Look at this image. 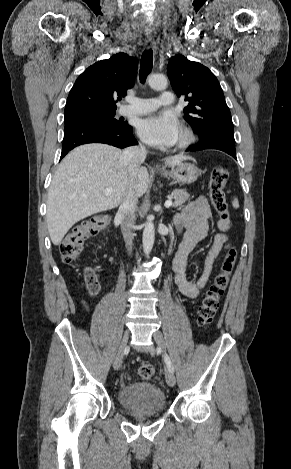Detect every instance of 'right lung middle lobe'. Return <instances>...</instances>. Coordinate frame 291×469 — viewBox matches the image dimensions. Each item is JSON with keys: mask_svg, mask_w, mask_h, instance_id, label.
Listing matches in <instances>:
<instances>
[{"mask_svg": "<svg viewBox=\"0 0 291 469\" xmlns=\"http://www.w3.org/2000/svg\"><path fill=\"white\" fill-rule=\"evenodd\" d=\"M116 109H97V110H88L79 113L69 114L64 116V123H68L75 120H96L104 123H121L120 121L114 118Z\"/></svg>", "mask_w": 291, "mask_h": 469, "instance_id": "dd1d6c3e", "label": "right lung middle lobe"}]
</instances>
